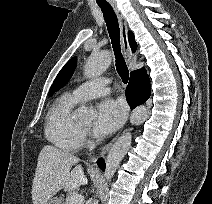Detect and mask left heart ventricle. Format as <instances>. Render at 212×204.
<instances>
[{
  "label": "left heart ventricle",
  "instance_id": "1",
  "mask_svg": "<svg viewBox=\"0 0 212 204\" xmlns=\"http://www.w3.org/2000/svg\"><path fill=\"white\" fill-rule=\"evenodd\" d=\"M91 124H92V121H87V122H84L82 124V126L85 127V128H89L91 126Z\"/></svg>",
  "mask_w": 212,
  "mask_h": 204
}]
</instances>
